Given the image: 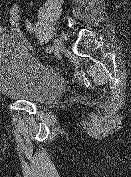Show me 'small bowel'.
<instances>
[{
  "instance_id": "1",
  "label": "small bowel",
  "mask_w": 131,
  "mask_h": 177,
  "mask_svg": "<svg viewBox=\"0 0 131 177\" xmlns=\"http://www.w3.org/2000/svg\"><path fill=\"white\" fill-rule=\"evenodd\" d=\"M10 33L8 26L0 25V35Z\"/></svg>"
}]
</instances>
